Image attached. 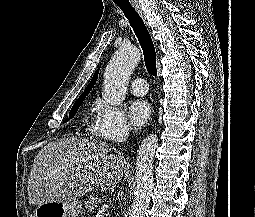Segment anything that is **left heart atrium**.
<instances>
[{
    "mask_svg": "<svg viewBox=\"0 0 255 217\" xmlns=\"http://www.w3.org/2000/svg\"><path fill=\"white\" fill-rule=\"evenodd\" d=\"M151 114L150 104L146 100H134L129 106V117L136 128L144 126Z\"/></svg>",
    "mask_w": 255,
    "mask_h": 217,
    "instance_id": "39dd6f15",
    "label": "left heart atrium"
}]
</instances>
